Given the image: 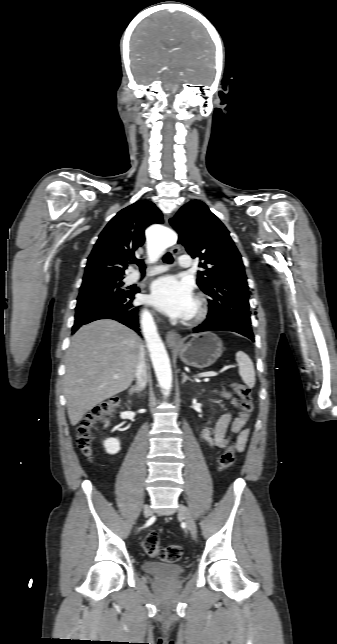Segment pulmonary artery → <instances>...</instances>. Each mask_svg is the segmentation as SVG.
Here are the masks:
<instances>
[{"mask_svg": "<svg viewBox=\"0 0 337 644\" xmlns=\"http://www.w3.org/2000/svg\"><path fill=\"white\" fill-rule=\"evenodd\" d=\"M178 265H179L181 268H188V267H190V266H191V257H190L189 255H180V256L178 257ZM163 270H165V267H164V266L154 267L153 269H151V270L147 273V275H154V274H156V273L162 272ZM139 278H140V274H139V273H133V274L130 276V280H131V281H137Z\"/></svg>", "mask_w": 337, "mask_h": 644, "instance_id": "pulmonary-artery-1", "label": "pulmonary artery"}]
</instances>
